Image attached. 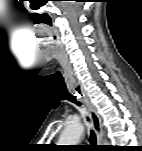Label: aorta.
I'll return each instance as SVG.
<instances>
[{
	"label": "aorta",
	"mask_w": 142,
	"mask_h": 151,
	"mask_svg": "<svg viewBox=\"0 0 142 151\" xmlns=\"http://www.w3.org/2000/svg\"><path fill=\"white\" fill-rule=\"evenodd\" d=\"M84 133V126L81 123H72L65 128L59 138V145H77Z\"/></svg>",
	"instance_id": "obj_1"
}]
</instances>
